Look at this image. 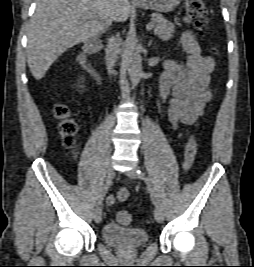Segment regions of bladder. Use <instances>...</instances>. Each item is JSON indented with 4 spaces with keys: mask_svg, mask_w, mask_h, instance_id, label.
I'll return each mask as SVG.
<instances>
[{
    "mask_svg": "<svg viewBox=\"0 0 254 267\" xmlns=\"http://www.w3.org/2000/svg\"><path fill=\"white\" fill-rule=\"evenodd\" d=\"M102 236L107 243L126 251L140 249L148 242L145 229L123 227L116 223H107L102 229Z\"/></svg>",
    "mask_w": 254,
    "mask_h": 267,
    "instance_id": "bladder-1",
    "label": "bladder"
}]
</instances>
